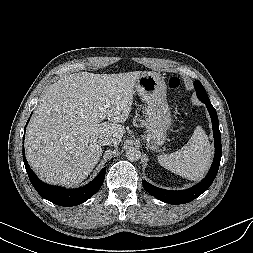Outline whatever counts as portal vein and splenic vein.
I'll list each match as a JSON object with an SVG mask.
<instances>
[{"mask_svg":"<svg viewBox=\"0 0 253 253\" xmlns=\"http://www.w3.org/2000/svg\"><path fill=\"white\" fill-rule=\"evenodd\" d=\"M99 109L101 110L102 114L100 116V118L104 119L105 115L103 114L104 108L102 106H99Z\"/></svg>","mask_w":253,"mask_h":253,"instance_id":"18ae733b","label":"portal vein and splenic vein"}]
</instances>
